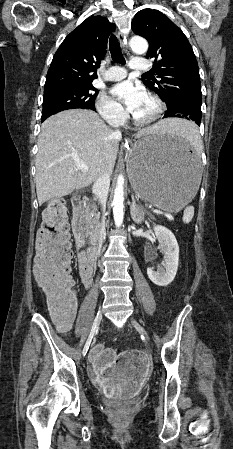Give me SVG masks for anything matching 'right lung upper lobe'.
Listing matches in <instances>:
<instances>
[{"label":"right lung upper lobe","instance_id":"right-lung-upper-lobe-1","mask_svg":"<svg viewBox=\"0 0 233 449\" xmlns=\"http://www.w3.org/2000/svg\"><path fill=\"white\" fill-rule=\"evenodd\" d=\"M115 25L102 16L87 18L62 42L48 70L44 93L76 86L92 85L96 68L106 53L107 41Z\"/></svg>","mask_w":233,"mask_h":449}]
</instances>
